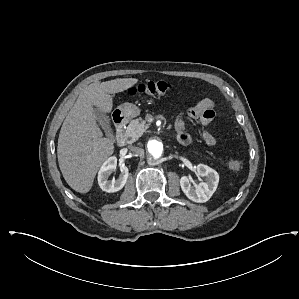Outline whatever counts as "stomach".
<instances>
[{
    "label": "stomach",
    "instance_id": "obj_1",
    "mask_svg": "<svg viewBox=\"0 0 299 299\" xmlns=\"http://www.w3.org/2000/svg\"><path fill=\"white\" fill-rule=\"evenodd\" d=\"M118 109L127 119H132L140 114V109L135 104L128 102L121 104Z\"/></svg>",
    "mask_w": 299,
    "mask_h": 299
}]
</instances>
